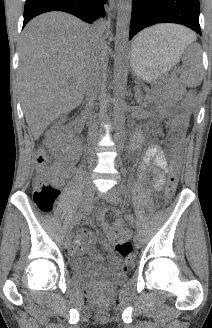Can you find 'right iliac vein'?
<instances>
[{"mask_svg": "<svg viewBox=\"0 0 212 328\" xmlns=\"http://www.w3.org/2000/svg\"><path fill=\"white\" fill-rule=\"evenodd\" d=\"M94 191L95 188L92 184L89 183L86 185L84 198H83V205H88L90 203V201L93 198ZM70 243H71V232H68L64 242L65 248H68L70 246Z\"/></svg>", "mask_w": 212, "mask_h": 328, "instance_id": "63e3f726", "label": "right iliac vein"}]
</instances>
